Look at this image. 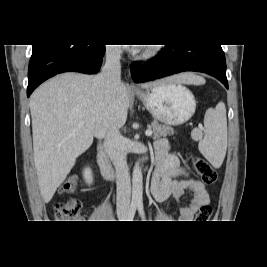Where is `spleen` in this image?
<instances>
[{
	"label": "spleen",
	"mask_w": 267,
	"mask_h": 267,
	"mask_svg": "<svg viewBox=\"0 0 267 267\" xmlns=\"http://www.w3.org/2000/svg\"><path fill=\"white\" fill-rule=\"evenodd\" d=\"M204 126L205 135L199 142V150L215 168H219L227 149V119L223 102L206 112Z\"/></svg>",
	"instance_id": "spleen-1"
}]
</instances>
